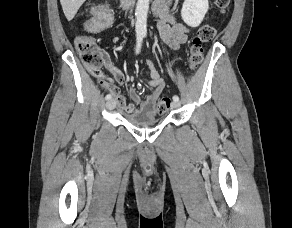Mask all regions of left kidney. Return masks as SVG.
I'll use <instances>...</instances> for the list:
<instances>
[{
  "label": "left kidney",
  "mask_w": 292,
  "mask_h": 228,
  "mask_svg": "<svg viewBox=\"0 0 292 228\" xmlns=\"http://www.w3.org/2000/svg\"><path fill=\"white\" fill-rule=\"evenodd\" d=\"M209 8L208 0H185L181 10L183 21L190 27L201 24Z\"/></svg>",
  "instance_id": "1"
}]
</instances>
